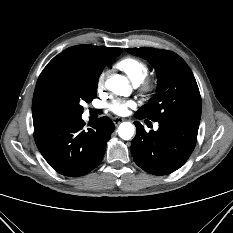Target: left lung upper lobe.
<instances>
[{
	"label": "left lung upper lobe",
	"instance_id": "5c2ea615",
	"mask_svg": "<svg viewBox=\"0 0 233 233\" xmlns=\"http://www.w3.org/2000/svg\"><path fill=\"white\" fill-rule=\"evenodd\" d=\"M127 52L147 59L158 75L157 93L137 110L138 116L157 122L171 118L200 120L199 89L191 69L179 55L149 47L129 48Z\"/></svg>",
	"mask_w": 233,
	"mask_h": 233
}]
</instances>
